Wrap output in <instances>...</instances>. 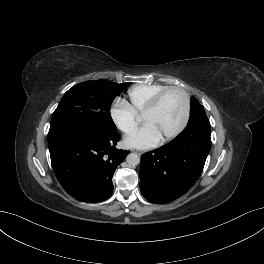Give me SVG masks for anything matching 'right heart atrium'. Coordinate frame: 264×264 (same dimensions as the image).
I'll use <instances>...</instances> for the list:
<instances>
[{"mask_svg":"<svg viewBox=\"0 0 264 264\" xmlns=\"http://www.w3.org/2000/svg\"><path fill=\"white\" fill-rule=\"evenodd\" d=\"M109 113L113 124L124 134L133 132L138 125V114L126 101H115Z\"/></svg>","mask_w":264,"mask_h":264,"instance_id":"d8ad5b80","label":"right heart atrium"}]
</instances>
